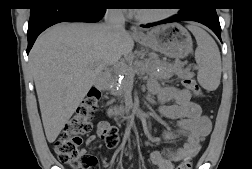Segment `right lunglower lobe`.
Returning <instances> with one entry per match:
<instances>
[{
    "mask_svg": "<svg viewBox=\"0 0 252 169\" xmlns=\"http://www.w3.org/2000/svg\"><path fill=\"white\" fill-rule=\"evenodd\" d=\"M108 3L90 0H40L31 8L28 24L29 53L38 35L60 22H97L105 14Z\"/></svg>",
    "mask_w": 252,
    "mask_h": 169,
    "instance_id": "98d812e1",
    "label": "right lung lower lobe"
}]
</instances>
